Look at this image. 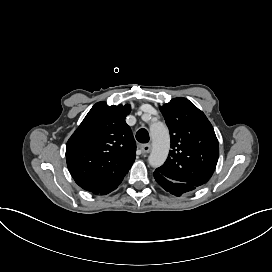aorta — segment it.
Returning <instances> with one entry per match:
<instances>
[{"instance_id": "762f6f07", "label": "aorta", "mask_w": 272, "mask_h": 272, "mask_svg": "<svg viewBox=\"0 0 272 272\" xmlns=\"http://www.w3.org/2000/svg\"><path fill=\"white\" fill-rule=\"evenodd\" d=\"M150 138L152 139V152L148 157L149 165L160 167L167 159L170 148V137L167 126L162 122L150 125Z\"/></svg>"}]
</instances>
